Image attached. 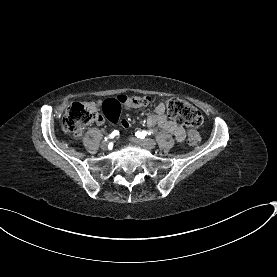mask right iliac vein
Instances as JSON below:
<instances>
[{
  "instance_id": "1",
  "label": "right iliac vein",
  "mask_w": 277,
  "mask_h": 277,
  "mask_svg": "<svg viewBox=\"0 0 277 277\" xmlns=\"http://www.w3.org/2000/svg\"><path fill=\"white\" fill-rule=\"evenodd\" d=\"M108 146H109V145H108V142H102V143H101V149H102V150H107V149H108Z\"/></svg>"
}]
</instances>
